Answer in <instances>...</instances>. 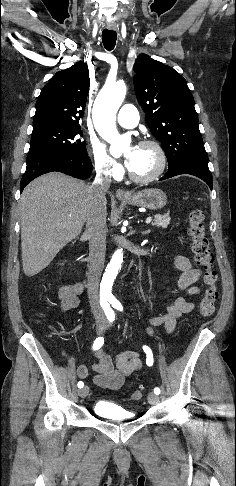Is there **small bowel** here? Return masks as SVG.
Here are the masks:
<instances>
[{"instance_id": "small-bowel-1", "label": "small bowel", "mask_w": 236, "mask_h": 486, "mask_svg": "<svg viewBox=\"0 0 236 486\" xmlns=\"http://www.w3.org/2000/svg\"><path fill=\"white\" fill-rule=\"evenodd\" d=\"M175 266L180 271L177 281V287L180 291L193 295L199 292L195 285L201 277V271L195 268L190 260L184 256H178L175 259ZM83 287L80 283L65 284L59 292L58 298L62 312L76 308L79 304L78 295ZM195 304L188 301L184 296L176 297L171 302L163 314L153 316L149 319L146 331L149 335L153 334V327L165 325L168 332L175 328L176 321L182 315L194 310ZM97 363L87 366L80 365L77 368V374L80 378H86L90 371L96 373L94 383L105 389H120L128 376L138 371L142 367V359L137 352L123 351L113 360L104 350L96 352Z\"/></svg>"}]
</instances>
